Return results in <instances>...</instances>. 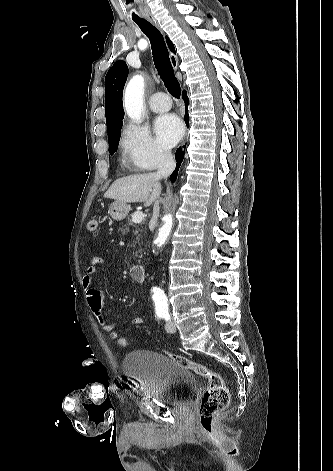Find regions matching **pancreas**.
<instances>
[{
    "label": "pancreas",
    "mask_w": 333,
    "mask_h": 471,
    "mask_svg": "<svg viewBox=\"0 0 333 471\" xmlns=\"http://www.w3.org/2000/svg\"><path fill=\"white\" fill-rule=\"evenodd\" d=\"M129 225H133L130 218H128V223L121 229L123 235H125L129 232ZM134 227H135V230L133 231V233H134V235H137L138 231H139V227L136 226V225H134Z\"/></svg>",
    "instance_id": "1"
}]
</instances>
